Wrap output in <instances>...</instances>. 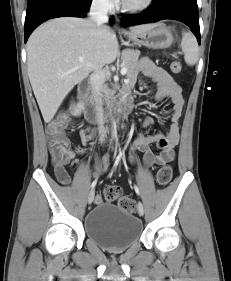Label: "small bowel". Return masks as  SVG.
Masks as SVG:
<instances>
[{
    "mask_svg": "<svg viewBox=\"0 0 231 281\" xmlns=\"http://www.w3.org/2000/svg\"><path fill=\"white\" fill-rule=\"evenodd\" d=\"M152 79L157 85L155 99L160 101L168 98L172 103L171 125L166 134L147 133L139 135L133 142L129 161L132 164L136 163L135 153L137 151L143 153V164L146 167L161 166L173 161L175 157V147L180 139V118L184 106L182 90L177 82L161 67L155 65L150 59L144 58L140 61L138 69L134 71L127 80V88L132 87L138 80L139 75ZM154 124L152 118H147L144 125L150 128ZM80 137L82 144L85 146L94 137V132L90 129H81ZM154 146L158 149V153H154L151 149ZM71 166L76 164L75 154L70 153L68 162ZM108 168V157H104L102 165H96L93 177H97L103 169ZM54 172L62 184H69L71 179L64 165H55Z\"/></svg>",
    "mask_w": 231,
    "mask_h": 281,
    "instance_id": "c3829d8e",
    "label": "small bowel"
}]
</instances>
